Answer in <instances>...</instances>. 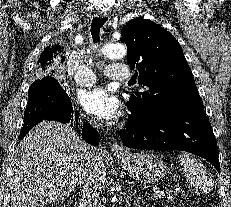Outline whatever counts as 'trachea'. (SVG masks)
Wrapping results in <instances>:
<instances>
[{"label":"trachea","instance_id":"obj_1","mask_svg":"<svg viewBox=\"0 0 231 207\" xmlns=\"http://www.w3.org/2000/svg\"><path fill=\"white\" fill-rule=\"evenodd\" d=\"M107 21V18H93L91 23V35L93 39V43L96 44L100 40V29L104 25V23Z\"/></svg>","mask_w":231,"mask_h":207}]
</instances>
